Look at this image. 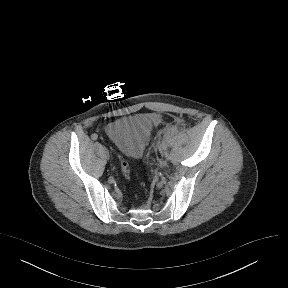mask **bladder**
Masks as SVG:
<instances>
[{"mask_svg":"<svg viewBox=\"0 0 288 288\" xmlns=\"http://www.w3.org/2000/svg\"><path fill=\"white\" fill-rule=\"evenodd\" d=\"M153 130V120L147 115H134L115 123L106 129L108 137L124 149L130 157L142 154Z\"/></svg>","mask_w":288,"mask_h":288,"instance_id":"bladder-1","label":"bladder"}]
</instances>
